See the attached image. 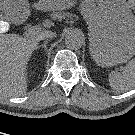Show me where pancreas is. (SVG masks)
I'll return each mask as SVG.
<instances>
[{
    "mask_svg": "<svg viewBox=\"0 0 135 135\" xmlns=\"http://www.w3.org/2000/svg\"><path fill=\"white\" fill-rule=\"evenodd\" d=\"M53 19H62L66 16V14L61 13V12H57V13H53L51 14Z\"/></svg>",
    "mask_w": 135,
    "mask_h": 135,
    "instance_id": "obj_1",
    "label": "pancreas"
}]
</instances>
